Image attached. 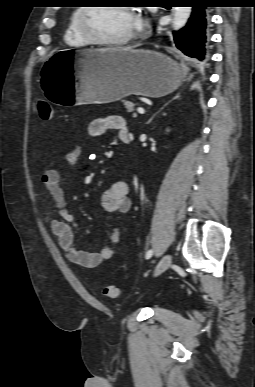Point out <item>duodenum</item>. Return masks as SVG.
Here are the masks:
<instances>
[{"label":"duodenum","mask_w":255,"mask_h":387,"mask_svg":"<svg viewBox=\"0 0 255 387\" xmlns=\"http://www.w3.org/2000/svg\"><path fill=\"white\" fill-rule=\"evenodd\" d=\"M120 139H121V141H123L124 143H129V142H130L129 134H122V135L120 136Z\"/></svg>","instance_id":"410a0bca"}]
</instances>
